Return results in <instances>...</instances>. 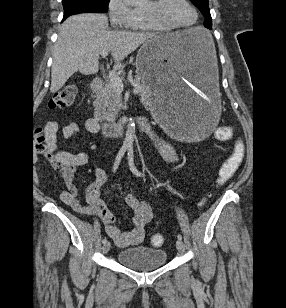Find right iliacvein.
<instances>
[{
	"label": "right iliac vein",
	"mask_w": 286,
	"mask_h": 308,
	"mask_svg": "<svg viewBox=\"0 0 286 308\" xmlns=\"http://www.w3.org/2000/svg\"><path fill=\"white\" fill-rule=\"evenodd\" d=\"M110 247H111L110 242H106V243L103 245V252H104V253H107V252L109 251Z\"/></svg>",
	"instance_id": "right-iliac-vein-1"
}]
</instances>
